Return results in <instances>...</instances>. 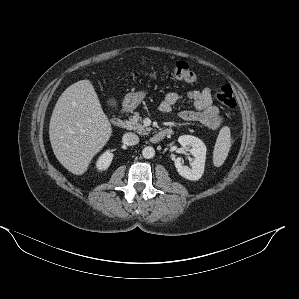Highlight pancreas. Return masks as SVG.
Listing matches in <instances>:
<instances>
[{
    "mask_svg": "<svg viewBox=\"0 0 299 299\" xmlns=\"http://www.w3.org/2000/svg\"><path fill=\"white\" fill-rule=\"evenodd\" d=\"M125 123L128 130H134L140 135H147L151 131V128L145 127L141 123V117L138 112L134 113Z\"/></svg>",
    "mask_w": 299,
    "mask_h": 299,
    "instance_id": "pancreas-1",
    "label": "pancreas"
}]
</instances>
